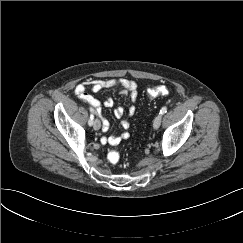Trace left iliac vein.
<instances>
[{
	"instance_id": "4c4485c4",
	"label": "left iliac vein",
	"mask_w": 243,
	"mask_h": 243,
	"mask_svg": "<svg viewBox=\"0 0 243 243\" xmlns=\"http://www.w3.org/2000/svg\"><path fill=\"white\" fill-rule=\"evenodd\" d=\"M161 120H162V115L159 114L155 117L154 122H153V128L158 129L161 125Z\"/></svg>"
}]
</instances>
